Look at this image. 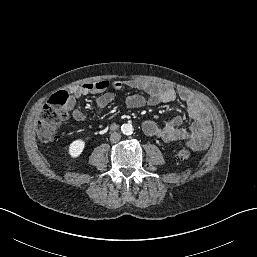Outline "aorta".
Instances as JSON below:
<instances>
[{
    "mask_svg": "<svg viewBox=\"0 0 257 257\" xmlns=\"http://www.w3.org/2000/svg\"><path fill=\"white\" fill-rule=\"evenodd\" d=\"M121 131L125 135H131L134 131V128L131 124H123L121 126Z\"/></svg>",
    "mask_w": 257,
    "mask_h": 257,
    "instance_id": "762f6f07",
    "label": "aorta"
}]
</instances>
